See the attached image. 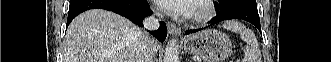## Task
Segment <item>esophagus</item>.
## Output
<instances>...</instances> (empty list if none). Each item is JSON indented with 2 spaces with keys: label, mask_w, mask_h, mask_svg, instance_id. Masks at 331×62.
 Segmentation results:
<instances>
[{
  "label": "esophagus",
  "mask_w": 331,
  "mask_h": 62,
  "mask_svg": "<svg viewBox=\"0 0 331 62\" xmlns=\"http://www.w3.org/2000/svg\"><path fill=\"white\" fill-rule=\"evenodd\" d=\"M168 33L172 36H179L181 29L172 22H167Z\"/></svg>",
  "instance_id": "esophagus-1"
}]
</instances>
